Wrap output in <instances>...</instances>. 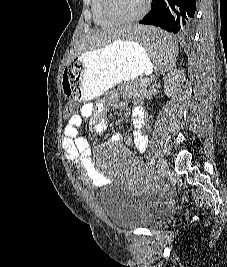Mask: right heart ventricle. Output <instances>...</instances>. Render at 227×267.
I'll return each instance as SVG.
<instances>
[{"mask_svg":"<svg viewBox=\"0 0 227 267\" xmlns=\"http://www.w3.org/2000/svg\"><path fill=\"white\" fill-rule=\"evenodd\" d=\"M91 9L94 22L99 26H110L114 24L108 18L105 17L102 11V0H92Z\"/></svg>","mask_w":227,"mask_h":267,"instance_id":"1","label":"right heart ventricle"}]
</instances>
